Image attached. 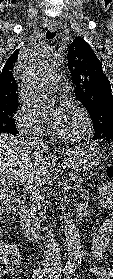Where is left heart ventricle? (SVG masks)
I'll return each instance as SVG.
<instances>
[{
  "label": "left heart ventricle",
  "mask_w": 113,
  "mask_h": 279,
  "mask_svg": "<svg viewBox=\"0 0 113 279\" xmlns=\"http://www.w3.org/2000/svg\"><path fill=\"white\" fill-rule=\"evenodd\" d=\"M55 113L56 111L52 108L47 113V118L51 124L54 122ZM80 127L81 123L78 112L73 107L66 106L60 123L55 126L56 131L62 135H69L79 131Z\"/></svg>",
  "instance_id": "obj_1"
}]
</instances>
